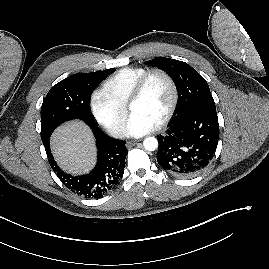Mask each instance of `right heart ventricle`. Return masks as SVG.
<instances>
[{
    "label": "right heart ventricle",
    "mask_w": 269,
    "mask_h": 269,
    "mask_svg": "<svg viewBox=\"0 0 269 269\" xmlns=\"http://www.w3.org/2000/svg\"><path fill=\"white\" fill-rule=\"evenodd\" d=\"M148 71L144 67H125L109 77L103 91L119 106L125 108L138 80Z\"/></svg>",
    "instance_id": "e07e8e85"
}]
</instances>
